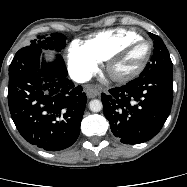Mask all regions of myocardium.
<instances>
[{"label":"myocardium","instance_id":"1","mask_svg":"<svg viewBox=\"0 0 187 187\" xmlns=\"http://www.w3.org/2000/svg\"><path fill=\"white\" fill-rule=\"evenodd\" d=\"M138 42H145L148 46V52L144 58V60L142 61V63L133 71L123 74V75H115L112 73L111 68L112 65L119 60L124 53L134 44L138 43ZM152 50H153V45L151 43L150 40H148L147 38L144 37H139L136 39H132L129 40L127 42H125L124 44H122L121 46H119L117 49H115L112 53H110L108 55V57L105 59V70L108 72V74L112 77L113 80L117 81V82H127L130 81L134 78H136L138 75H140L143 70L146 68L147 64L150 61L151 55H152Z\"/></svg>","mask_w":187,"mask_h":187}]
</instances>
